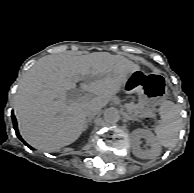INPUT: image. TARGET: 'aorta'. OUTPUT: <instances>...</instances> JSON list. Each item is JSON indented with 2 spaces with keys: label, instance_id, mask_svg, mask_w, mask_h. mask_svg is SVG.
I'll use <instances>...</instances> for the list:
<instances>
[{
  "label": "aorta",
  "instance_id": "obj_1",
  "mask_svg": "<svg viewBox=\"0 0 194 193\" xmlns=\"http://www.w3.org/2000/svg\"><path fill=\"white\" fill-rule=\"evenodd\" d=\"M104 120L108 124H115V123H117L120 120L119 111L117 109H115V108L108 109L104 113Z\"/></svg>",
  "mask_w": 194,
  "mask_h": 193
}]
</instances>
